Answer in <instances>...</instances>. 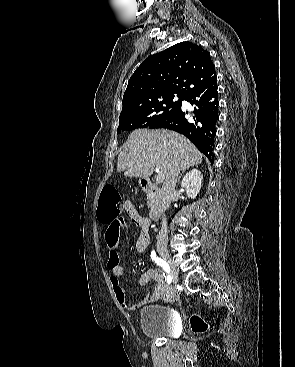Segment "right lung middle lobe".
I'll list each match as a JSON object with an SVG mask.
<instances>
[{"label": "right lung middle lobe", "mask_w": 295, "mask_h": 367, "mask_svg": "<svg viewBox=\"0 0 295 367\" xmlns=\"http://www.w3.org/2000/svg\"><path fill=\"white\" fill-rule=\"evenodd\" d=\"M175 97H178L177 101ZM184 98L182 95L164 94L130 103L120 114L117 133L150 127L179 109Z\"/></svg>", "instance_id": "obj_1"}]
</instances>
